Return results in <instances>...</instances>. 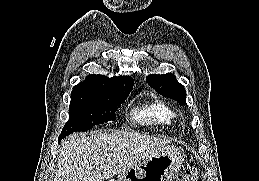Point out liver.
<instances>
[{
  "label": "liver",
  "instance_id": "obj_1",
  "mask_svg": "<svg viewBox=\"0 0 259 181\" xmlns=\"http://www.w3.org/2000/svg\"><path fill=\"white\" fill-rule=\"evenodd\" d=\"M168 147L137 132L74 134L62 141L54 181H104Z\"/></svg>",
  "mask_w": 259,
  "mask_h": 181
}]
</instances>
